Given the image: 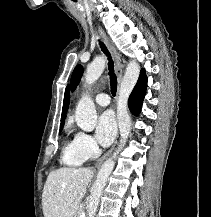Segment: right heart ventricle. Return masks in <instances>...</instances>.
<instances>
[{"mask_svg":"<svg viewBox=\"0 0 211 217\" xmlns=\"http://www.w3.org/2000/svg\"><path fill=\"white\" fill-rule=\"evenodd\" d=\"M86 159L78 151L74 139L67 142L62 152V162L69 166L82 164Z\"/></svg>","mask_w":211,"mask_h":217,"instance_id":"obj_1","label":"right heart ventricle"}]
</instances>
